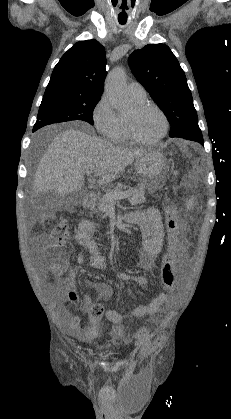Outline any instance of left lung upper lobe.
<instances>
[{
	"label": "left lung upper lobe",
	"mask_w": 231,
	"mask_h": 419,
	"mask_svg": "<svg viewBox=\"0 0 231 419\" xmlns=\"http://www.w3.org/2000/svg\"><path fill=\"white\" fill-rule=\"evenodd\" d=\"M129 65L136 79L166 113L170 137L202 134L186 76L165 44H149L135 50Z\"/></svg>",
	"instance_id": "left-lung-upper-lobe-1"
}]
</instances>
